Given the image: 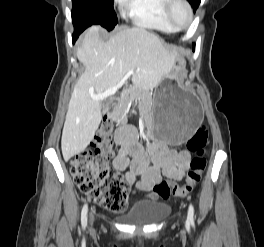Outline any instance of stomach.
Here are the masks:
<instances>
[{
	"mask_svg": "<svg viewBox=\"0 0 264 247\" xmlns=\"http://www.w3.org/2000/svg\"><path fill=\"white\" fill-rule=\"evenodd\" d=\"M182 63L171 67L173 74ZM174 78H164L152 97L153 136L167 142L168 147H177L183 141H190L194 130L202 121V108L196 97L182 90Z\"/></svg>",
	"mask_w": 264,
	"mask_h": 247,
	"instance_id": "obj_1",
	"label": "stomach"
}]
</instances>
